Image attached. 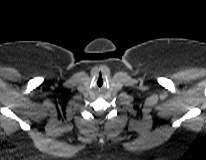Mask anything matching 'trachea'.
<instances>
[{"instance_id": "obj_1", "label": "trachea", "mask_w": 206, "mask_h": 160, "mask_svg": "<svg viewBox=\"0 0 206 160\" xmlns=\"http://www.w3.org/2000/svg\"><path fill=\"white\" fill-rule=\"evenodd\" d=\"M97 85H98L99 87H101V86L103 85V78H102L101 73L99 74L98 81H97Z\"/></svg>"}]
</instances>
